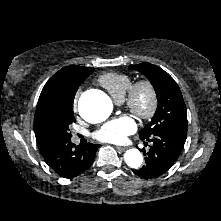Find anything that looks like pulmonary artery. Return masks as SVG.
<instances>
[{"instance_id":"e3ab8cb5","label":"pulmonary artery","mask_w":221,"mask_h":221,"mask_svg":"<svg viewBox=\"0 0 221 221\" xmlns=\"http://www.w3.org/2000/svg\"><path fill=\"white\" fill-rule=\"evenodd\" d=\"M118 103H120L121 101H116ZM74 140H77V136H74Z\"/></svg>"}]
</instances>
